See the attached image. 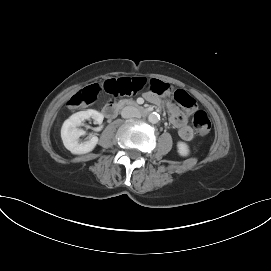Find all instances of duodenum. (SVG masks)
<instances>
[{
  "instance_id": "duodenum-1",
  "label": "duodenum",
  "mask_w": 271,
  "mask_h": 271,
  "mask_svg": "<svg viewBox=\"0 0 271 271\" xmlns=\"http://www.w3.org/2000/svg\"><path fill=\"white\" fill-rule=\"evenodd\" d=\"M124 106L134 107L137 110V112L143 116L150 113L149 109L135 105V104L128 102V101H111V102H108L104 106L103 114L106 118H114L117 115L118 111Z\"/></svg>"
}]
</instances>
